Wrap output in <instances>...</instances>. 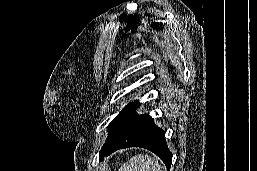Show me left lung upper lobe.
<instances>
[{"mask_svg":"<svg viewBox=\"0 0 257 171\" xmlns=\"http://www.w3.org/2000/svg\"><path fill=\"white\" fill-rule=\"evenodd\" d=\"M140 106V103L134 101L128 104L118 116L108 126V137L106 142L116 138L121 132H123L130 123L135 119L137 114L135 109Z\"/></svg>","mask_w":257,"mask_h":171,"instance_id":"left-lung-upper-lobe-1","label":"left lung upper lobe"}]
</instances>
